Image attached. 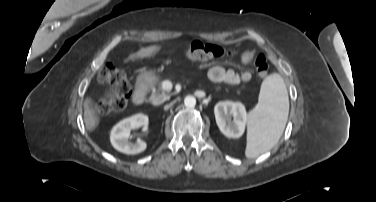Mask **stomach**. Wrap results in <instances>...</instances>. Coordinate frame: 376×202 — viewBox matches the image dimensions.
Masks as SVG:
<instances>
[{
    "label": "stomach",
    "instance_id": "1",
    "mask_svg": "<svg viewBox=\"0 0 376 202\" xmlns=\"http://www.w3.org/2000/svg\"><path fill=\"white\" fill-rule=\"evenodd\" d=\"M140 77L144 81H150V80L155 79L156 73L153 70H149V71H145V72L141 73Z\"/></svg>",
    "mask_w": 376,
    "mask_h": 202
}]
</instances>
